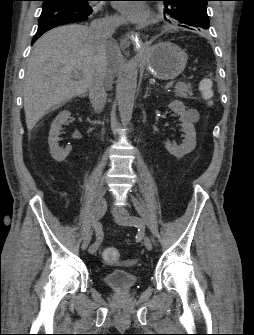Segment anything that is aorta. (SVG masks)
I'll list each match as a JSON object with an SVG mask.
<instances>
[{"label":"aorta","mask_w":254,"mask_h":335,"mask_svg":"<svg viewBox=\"0 0 254 335\" xmlns=\"http://www.w3.org/2000/svg\"><path fill=\"white\" fill-rule=\"evenodd\" d=\"M138 63L132 59L126 67L118 88V108L121 122L128 124L132 118L137 89Z\"/></svg>","instance_id":"1"}]
</instances>
